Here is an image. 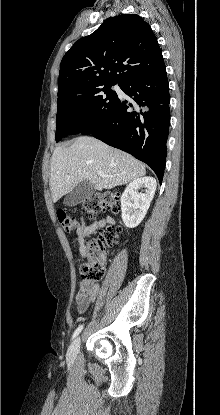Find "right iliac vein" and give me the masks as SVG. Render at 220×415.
<instances>
[{"mask_svg": "<svg viewBox=\"0 0 220 415\" xmlns=\"http://www.w3.org/2000/svg\"><path fill=\"white\" fill-rule=\"evenodd\" d=\"M80 342H81L80 337H77L73 340V342L69 346L68 351H67V359H68L69 362H72L74 360V358H75V356H76V354H77V352L80 348Z\"/></svg>", "mask_w": 220, "mask_h": 415, "instance_id": "63e3f726", "label": "right iliac vein"}]
</instances>
